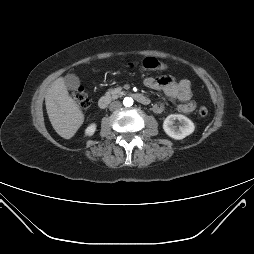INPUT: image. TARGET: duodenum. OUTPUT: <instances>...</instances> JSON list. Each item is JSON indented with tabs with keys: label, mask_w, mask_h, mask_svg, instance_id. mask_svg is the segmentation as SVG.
I'll return each mask as SVG.
<instances>
[{
	"label": "duodenum",
	"mask_w": 254,
	"mask_h": 254,
	"mask_svg": "<svg viewBox=\"0 0 254 254\" xmlns=\"http://www.w3.org/2000/svg\"><path fill=\"white\" fill-rule=\"evenodd\" d=\"M129 96L133 97L135 100H137L139 103L143 104V105H148L150 103V100L147 96H145L144 94L141 93H137V92H132L128 94ZM115 99V96L110 95V94H106L103 95L99 101H98V105L100 108L104 109L106 108L113 100Z\"/></svg>",
	"instance_id": "duodenum-1"
}]
</instances>
